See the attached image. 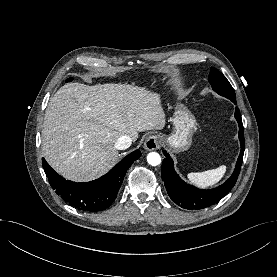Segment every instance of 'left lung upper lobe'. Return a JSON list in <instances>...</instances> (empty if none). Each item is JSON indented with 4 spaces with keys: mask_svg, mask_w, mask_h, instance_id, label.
<instances>
[{
    "mask_svg": "<svg viewBox=\"0 0 277 277\" xmlns=\"http://www.w3.org/2000/svg\"><path fill=\"white\" fill-rule=\"evenodd\" d=\"M209 82L215 92L230 99L233 103H236V95L233 87L226 77L216 68L212 67L210 69Z\"/></svg>",
    "mask_w": 277,
    "mask_h": 277,
    "instance_id": "5c2ea615",
    "label": "left lung upper lobe"
}]
</instances>
